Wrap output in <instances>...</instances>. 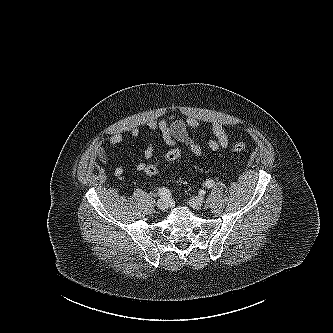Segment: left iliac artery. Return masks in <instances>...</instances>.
Here are the masks:
<instances>
[{"label":"left iliac artery","mask_w":333,"mask_h":333,"mask_svg":"<svg viewBox=\"0 0 333 333\" xmlns=\"http://www.w3.org/2000/svg\"><path fill=\"white\" fill-rule=\"evenodd\" d=\"M215 182L212 180V179H208L206 182H205V186L207 188H212L214 186Z\"/></svg>","instance_id":"44dca946"}]
</instances>
